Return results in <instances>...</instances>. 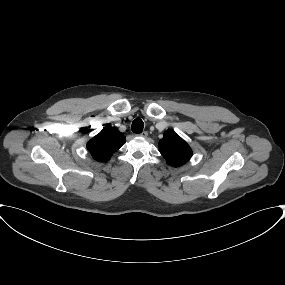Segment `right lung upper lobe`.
I'll list each match as a JSON object with an SVG mask.
<instances>
[{"label": "right lung upper lobe", "mask_w": 285, "mask_h": 285, "mask_svg": "<svg viewBox=\"0 0 285 285\" xmlns=\"http://www.w3.org/2000/svg\"><path fill=\"white\" fill-rule=\"evenodd\" d=\"M126 142L123 133L117 128L107 124L102 131L87 143V149L94 160L107 162L112 154L116 152Z\"/></svg>", "instance_id": "obj_1"}]
</instances>
